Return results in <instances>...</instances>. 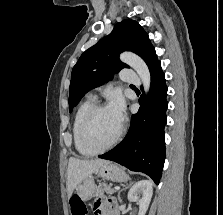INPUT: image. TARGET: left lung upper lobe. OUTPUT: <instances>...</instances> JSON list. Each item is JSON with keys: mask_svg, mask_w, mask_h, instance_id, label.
Returning <instances> with one entry per match:
<instances>
[{"mask_svg": "<svg viewBox=\"0 0 223 215\" xmlns=\"http://www.w3.org/2000/svg\"><path fill=\"white\" fill-rule=\"evenodd\" d=\"M123 51L138 54L151 70L158 62L148 34L138 22L126 19L117 23L112 32L86 50L73 67L69 87V110L94 87L112 79L115 73L128 67L119 60Z\"/></svg>", "mask_w": 223, "mask_h": 215, "instance_id": "5c2ea615", "label": "left lung upper lobe"}]
</instances>
